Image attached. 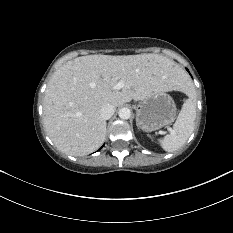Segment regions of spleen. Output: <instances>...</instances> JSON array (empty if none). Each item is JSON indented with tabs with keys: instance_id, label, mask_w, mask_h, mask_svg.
I'll use <instances>...</instances> for the list:
<instances>
[{
	"instance_id": "obj_1",
	"label": "spleen",
	"mask_w": 233,
	"mask_h": 233,
	"mask_svg": "<svg viewBox=\"0 0 233 233\" xmlns=\"http://www.w3.org/2000/svg\"><path fill=\"white\" fill-rule=\"evenodd\" d=\"M195 119V96L190 92L189 98L184 102L171 132L164 139L159 140L162 148L167 152H173L182 147L194 130Z\"/></svg>"
}]
</instances>
